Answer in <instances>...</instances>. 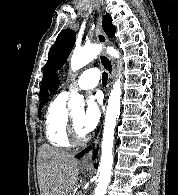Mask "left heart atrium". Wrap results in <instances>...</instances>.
<instances>
[{
    "instance_id": "1",
    "label": "left heart atrium",
    "mask_w": 178,
    "mask_h": 195,
    "mask_svg": "<svg viewBox=\"0 0 178 195\" xmlns=\"http://www.w3.org/2000/svg\"><path fill=\"white\" fill-rule=\"evenodd\" d=\"M100 104L94 97L89 98L86 111L81 120V128L85 134L92 132L100 119Z\"/></svg>"
}]
</instances>
